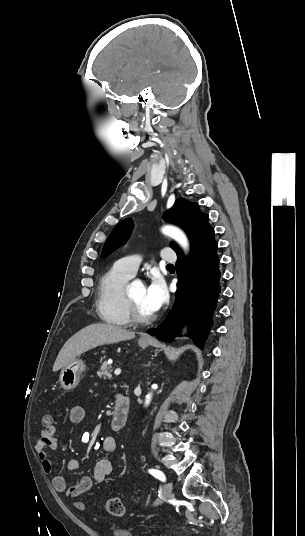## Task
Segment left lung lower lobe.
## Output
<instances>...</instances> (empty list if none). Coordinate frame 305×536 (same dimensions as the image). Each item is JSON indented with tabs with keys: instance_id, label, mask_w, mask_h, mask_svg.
<instances>
[{
	"instance_id": "1",
	"label": "left lung lower lobe",
	"mask_w": 305,
	"mask_h": 536,
	"mask_svg": "<svg viewBox=\"0 0 305 536\" xmlns=\"http://www.w3.org/2000/svg\"><path fill=\"white\" fill-rule=\"evenodd\" d=\"M177 256L179 281L176 302L162 324L148 333L159 340L170 342L180 334L179 328L187 324V336L203 348V341L212 325L211 315L221 291L214 229L210 228L195 242L188 258L183 253Z\"/></svg>"
}]
</instances>
